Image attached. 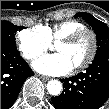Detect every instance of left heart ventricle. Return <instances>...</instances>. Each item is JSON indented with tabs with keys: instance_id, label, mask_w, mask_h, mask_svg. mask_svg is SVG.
Returning a JSON list of instances; mask_svg holds the SVG:
<instances>
[{
	"instance_id": "obj_1",
	"label": "left heart ventricle",
	"mask_w": 109,
	"mask_h": 109,
	"mask_svg": "<svg viewBox=\"0 0 109 109\" xmlns=\"http://www.w3.org/2000/svg\"><path fill=\"white\" fill-rule=\"evenodd\" d=\"M91 37L89 34H84L76 42L71 45L57 44L56 50L63 54L73 67L84 62L91 51Z\"/></svg>"
}]
</instances>
